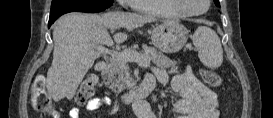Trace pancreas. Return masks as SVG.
I'll return each instance as SVG.
<instances>
[{"instance_id": "1", "label": "pancreas", "mask_w": 273, "mask_h": 118, "mask_svg": "<svg viewBox=\"0 0 273 118\" xmlns=\"http://www.w3.org/2000/svg\"><path fill=\"white\" fill-rule=\"evenodd\" d=\"M143 55L148 56L149 60L161 68L176 69V62L165 56L153 47L142 45ZM123 52H135L133 48H127ZM128 61L112 57L108 65L107 73L103 77L104 84L113 92L120 93L123 90L133 88L135 83L131 81Z\"/></svg>"}]
</instances>
